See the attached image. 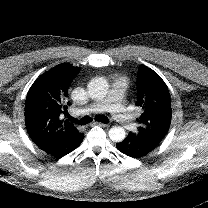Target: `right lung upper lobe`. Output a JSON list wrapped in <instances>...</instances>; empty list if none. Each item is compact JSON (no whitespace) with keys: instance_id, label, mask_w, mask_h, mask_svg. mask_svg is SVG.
I'll return each instance as SVG.
<instances>
[{"instance_id":"obj_1","label":"right lung upper lobe","mask_w":208,"mask_h":208,"mask_svg":"<svg viewBox=\"0 0 208 208\" xmlns=\"http://www.w3.org/2000/svg\"><path fill=\"white\" fill-rule=\"evenodd\" d=\"M80 68L60 64L41 75L31 86L25 100V124L32 141L42 150L68 141L80 134L67 112L68 89Z\"/></svg>"}]
</instances>
